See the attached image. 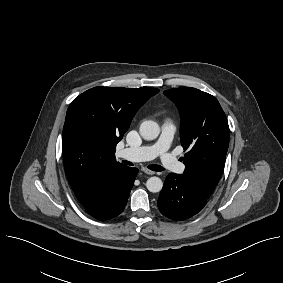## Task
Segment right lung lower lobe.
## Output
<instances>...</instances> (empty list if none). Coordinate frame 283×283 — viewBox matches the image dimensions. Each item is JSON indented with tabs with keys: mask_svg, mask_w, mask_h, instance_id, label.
<instances>
[{
	"mask_svg": "<svg viewBox=\"0 0 283 283\" xmlns=\"http://www.w3.org/2000/svg\"><path fill=\"white\" fill-rule=\"evenodd\" d=\"M137 174V168L125 165L106 171L97 179L89 200L82 204L86 212L98 220L118 216L124 210Z\"/></svg>",
	"mask_w": 283,
	"mask_h": 283,
	"instance_id": "98d812e1",
	"label": "right lung lower lobe"
}]
</instances>
